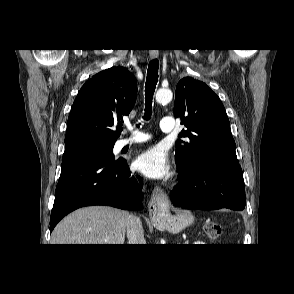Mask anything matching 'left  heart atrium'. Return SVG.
<instances>
[{
	"mask_svg": "<svg viewBox=\"0 0 294 294\" xmlns=\"http://www.w3.org/2000/svg\"><path fill=\"white\" fill-rule=\"evenodd\" d=\"M135 164L137 169L149 178L161 179L170 173V162L161 146H154L139 154Z\"/></svg>",
	"mask_w": 294,
	"mask_h": 294,
	"instance_id": "1",
	"label": "left heart atrium"
}]
</instances>
